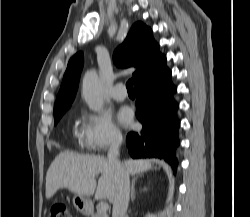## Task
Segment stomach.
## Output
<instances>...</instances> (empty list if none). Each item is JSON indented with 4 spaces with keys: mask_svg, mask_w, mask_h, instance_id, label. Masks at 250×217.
I'll return each instance as SVG.
<instances>
[{
    "mask_svg": "<svg viewBox=\"0 0 250 217\" xmlns=\"http://www.w3.org/2000/svg\"><path fill=\"white\" fill-rule=\"evenodd\" d=\"M73 205L77 211L86 216L91 214L93 209L92 201L89 197L77 194L73 197Z\"/></svg>",
    "mask_w": 250,
    "mask_h": 217,
    "instance_id": "stomach-1",
    "label": "stomach"
}]
</instances>
